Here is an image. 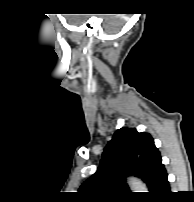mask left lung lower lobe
Returning a JSON list of instances; mask_svg holds the SVG:
<instances>
[{"label":"left lung lower lobe","mask_w":194,"mask_h":202,"mask_svg":"<svg viewBox=\"0 0 194 202\" xmlns=\"http://www.w3.org/2000/svg\"><path fill=\"white\" fill-rule=\"evenodd\" d=\"M170 186L167 180V172L165 168H162L158 180L155 184L154 190L152 192V197L156 199H166L170 195Z\"/></svg>","instance_id":"1"}]
</instances>
